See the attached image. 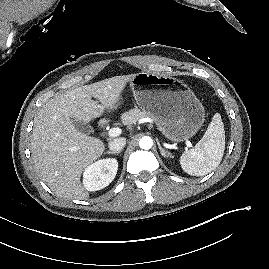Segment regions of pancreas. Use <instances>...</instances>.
<instances>
[{"label": "pancreas", "instance_id": "pancreas-1", "mask_svg": "<svg viewBox=\"0 0 269 269\" xmlns=\"http://www.w3.org/2000/svg\"><path fill=\"white\" fill-rule=\"evenodd\" d=\"M144 117H146V113L135 108L125 112L121 118L124 124H132Z\"/></svg>", "mask_w": 269, "mask_h": 269}]
</instances>
